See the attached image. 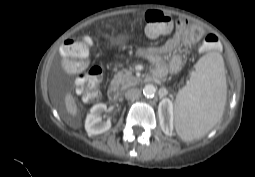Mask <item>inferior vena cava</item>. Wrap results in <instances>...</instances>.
<instances>
[{
    "label": "inferior vena cava",
    "mask_w": 255,
    "mask_h": 177,
    "mask_svg": "<svg viewBox=\"0 0 255 177\" xmlns=\"http://www.w3.org/2000/svg\"><path fill=\"white\" fill-rule=\"evenodd\" d=\"M141 95V91L137 88H131L125 92V98L128 100H135L139 98Z\"/></svg>",
    "instance_id": "602c4592"
}]
</instances>
